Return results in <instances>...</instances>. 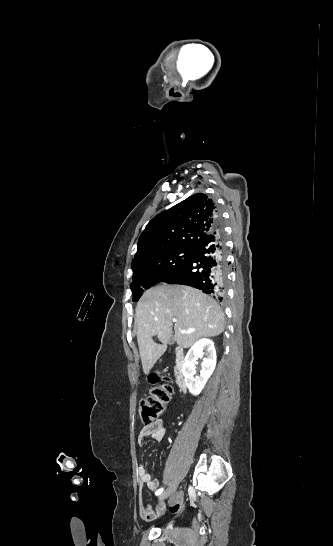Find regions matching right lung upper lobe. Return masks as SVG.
I'll list each match as a JSON object with an SVG mask.
<instances>
[{
	"instance_id": "cb5924a9",
	"label": "right lung upper lobe",
	"mask_w": 333,
	"mask_h": 546,
	"mask_svg": "<svg viewBox=\"0 0 333 546\" xmlns=\"http://www.w3.org/2000/svg\"><path fill=\"white\" fill-rule=\"evenodd\" d=\"M216 205L206 194H194L155 216L138 240L133 272L167 250L193 247L216 227Z\"/></svg>"
}]
</instances>
